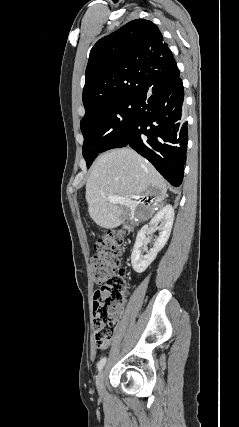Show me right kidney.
Returning <instances> with one entry per match:
<instances>
[{"label": "right kidney", "mask_w": 239, "mask_h": 427, "mask_svg": "<svg viewBox=\"0 0 239 427\" xmlns=\"http://www.w3.org/2000/svg\"><path fill=\"white\" fill-rule=\"evenodd\" d=\"M174 221V209L171 205L164 206L155 214L149 222L150 226L161 223L159 237L155 240L154 247L151 248L145 255L142 251L146 250V233L148 232L149 225H144L138 232L134 248L131 254V264L135 272L142 273L154 261L158 252L165 246L171 233Z\"/></svg>", "instance_id": "obj_1"}]
</instances>
